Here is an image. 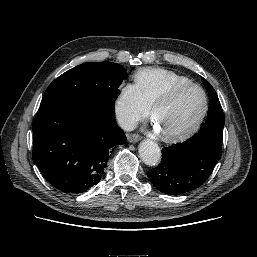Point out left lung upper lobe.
<instances>
[{"label": "left lung upper lobe", "instance_id": "5c2ea615", "mask_svg": "<svg viewBox=\"0 0 257 257\" xmlns=\"http://www.w3.org/2000/svg\"><path fill=\"white\" fill-rule=\"evenodd\" d=\"M202 81L208 90L210 105L205 124L203 125L199 133L195 134L193 137L210 135L223 138V127L225 119L220 101L212 85L204 78H202Z\"/></svg>", "mask_w": 257, "mask_h": 257}]
</instances>
